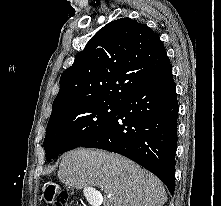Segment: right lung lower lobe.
Returning a JSON list of instances; mask_svg holds the SVG:
<instances>
[{
  "label": "right lung lower lobe",
  "instance_id": "obj_1",
  "mask_svg": "<svg viewBox=\"0 0 221 206\" xmlns=\"http://www.w3.org/2000/svg\"><path fill=\"white\" fill-rule=\"evenodd\" d=\"M178 101L169 65L132 92L115 118L81 147L119 153L175 189Z\"/></svg>",
  "mask_w": 221,
  "mask_h": 206
}]
</instances>
